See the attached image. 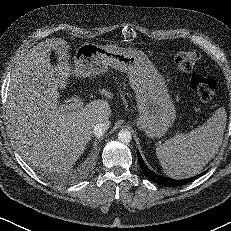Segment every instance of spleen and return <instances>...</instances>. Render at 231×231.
<instances>
[{
	"label": "spleen",
	"mask_w": 231,
	"mask_h": 231,
	"mask_svg": "<svg viewBox=\"0 0 231 231\" xmlns=\"http://www.w3.org/2000/svg\"><path fill=\"white\" fill-rule=\"evenodd\" d=\"M226 119V110L220 107L203 125L159 145L156 155L165 174L174 179L199 174L222 144Z\"/></svg>",
	"instance_id": "spleen-1"
}]
</instances>
